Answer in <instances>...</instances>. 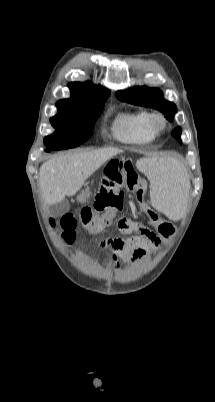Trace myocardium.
Here are the masks:
<instances>
[{"label":"myocardium","instance_id":"1","mask_svg":"<svg viewBox=\"0 0 215 402\" xmlns=\"http://www.w3.org/2000/svg\"><path fill=\"white\" fill-rule=\"evenodd\" d=\"M148 125L154 133L162 132L167 126V119L161 112H152L148 115Z\"/></svg>","mask_w":215,"mask_h":402}]
</instances>
